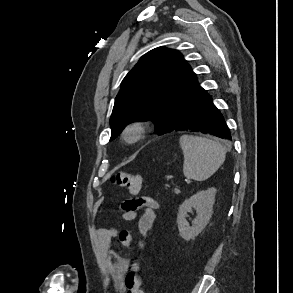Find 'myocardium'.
I'll list each match as a JSON object with an SVG mask.
<instances>
[{"label":"myocardium","mask_w":293,"mask_h":293,"mask_svg":"<svg viewBox=\"0 0 293 293\" xmlns=\"http://www.w3.org/2000/svg\"><path fill=\"white\" fill-rule=\"evenodd\" d=\"M146 127L142 122L129 123L123 131V137L130 143H135L144 138Z\"/></svg>","instance_id":"obj_1"}]
</instances>
